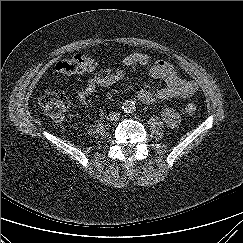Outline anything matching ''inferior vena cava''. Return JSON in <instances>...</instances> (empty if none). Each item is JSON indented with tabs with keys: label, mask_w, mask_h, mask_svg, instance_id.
Listing matches in <instances>:
<instances>
[{
	"label": "inferior vena cava",
	"mask_w": 243,
	"mask_h": 243,
	"mask_svg": "<svg viewBox=\"0 0 243 243\" xmlns=\"http://www.w3.org/2000/svg\"><path fill=\"white\" fill-rule=\"evenodd\" d=\"M120 118V114L117 112H114L112 114H110V119L111 120H118Z\"/></svg>",
	"instance_id": "602c4592"
}]
</instances>
